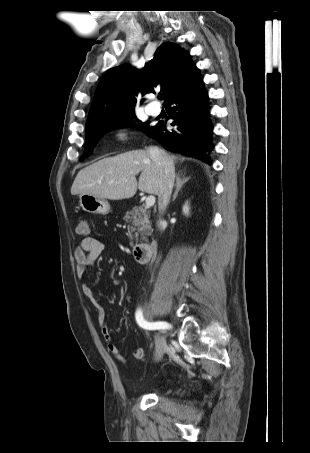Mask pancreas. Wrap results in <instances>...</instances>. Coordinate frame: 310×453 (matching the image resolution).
<instances>
[{
    "instance_id": "cf45deb5",
    "label": "pancreas",
    "mask_w": 310,
    "mask_h": 453,
    "mask_svg": "<svg viewBox=\"0 0 310 453\" xmlns=\"http://www.w3.org/2000/svg\"><path fill=\"white\" fill-rule=\"evenodd\" d=\"M150 213L146 207H134L132 210L127 211L123 220L128 223L129 238L137 240L139 233L145 238V235H150L152 232ZM134 233V235H132Z\"/></svg>"
}]
</instances>
